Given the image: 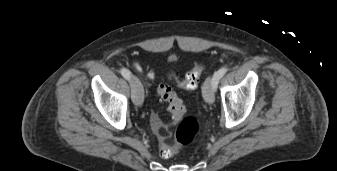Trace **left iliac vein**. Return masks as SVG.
<instances>
[{"label": "left iliac vein", "instance_id": "left-iliac-vein-1", "mask_svg": "<svg viewBox=\"0 0 337 171\" xmlns=\"http://www.w3.org/2000/svg\"><path fill=\"white\" fill-rule=\"evenodd\" d=\"M203 97L208 104H213L215 101L214 95V84H213V77H208L203 85Z\"/></svg>", "mask_w": 337, "mask_h": 171}]
</instances>
